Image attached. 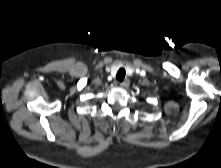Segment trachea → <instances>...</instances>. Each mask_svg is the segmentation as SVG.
<instances>
[{"label":"trachea","instance_id":"obj_1","mask_svg":"<svg viewBox=\"0 0 221 168\" xmlns=\"http://www.w3.org/2000/svg\"><path fill=\"white\" fill-rule=\"evenodd\" d=\"M125 74H126V72L123 68L119 69L117 72V75H116V79L119 82H122L124 80Z\"/></svg>","mask_w":221,"mask_h":168}]
</instances>
